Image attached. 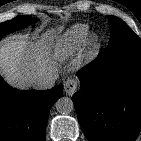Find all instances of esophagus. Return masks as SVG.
<instances>
[{"label": "esophagus", "mask_w": 141, "mask_h": 141, "mask_svg": "<svg viewBox=\"0 0 141 141\" xmlns=\"http://www.w3.org/2000/svg\"><path fill=\"white\" fill-rule=\"evenodd\" d=\"M78 88V81L76 79H68L64 84V90L68 95H73Z\"/></svg>", "instance_id": "obj_1"}]
</instances>
